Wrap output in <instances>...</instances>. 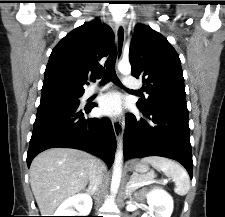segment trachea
Returning <instances> with one entry per match:
<instances>
[{"label":"trachea","instance_id":"trachea-1","mask_svg":"<svg viewBox=\"0 0 225 217\" xmlns=\"http://www.w3.org/2000/svg\"><path fill=\"white\" fill-rule=\"evenodd\" d=\"M116 57H117V51L115 48L112 49L110 56L108 57L106 61V72L103 77V83H106L108 81H113L114 83L120 85V82L116 76L115 72V63H116Z\"/></svg>","mask_w":225,"mask_h":217}]
</instances>
